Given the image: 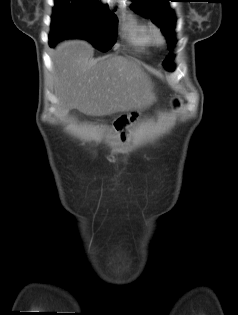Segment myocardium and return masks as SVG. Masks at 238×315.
Instances as JSON below:
<instances>
[{
    "mask_svg": "<svg viewBox=\"0 0 238 315\" xmlns=\"http://www.w3.org/2000/svg\"><path fill=\"white\" fill-rule=\"evenodd\" d=\"M152 35H153V39L157 43H162L164 41V37H163V34H162L160 29L154 28L153 31H152Z\"/></svg>",
    "mask_w": 238,
    "mask_h": 315,
    "instance_id": "myocardium-1",
    "label": "myocardium"
}]
</instances>
